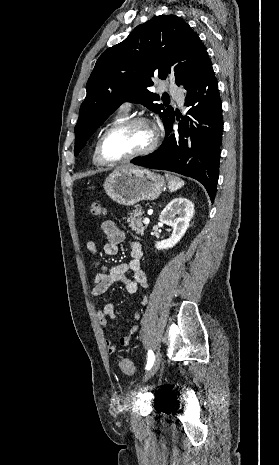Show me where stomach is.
<instances>
[{"instance_id":"0dacf381","label":"stomach","mask_w":279,"mask_h":465,"mask_svg":"<svg viewBox=\"0 0 279 465\" xmlns=\"http://www.w3.org/2000/svg\"><path fill=\"white\" fill-rule=\"evenodd\" d=\"M165 179L148 169L120 167L104 181L106 194L116 203L132 206L156 199L165 187Z\"/></svg>"}]
</instances>
